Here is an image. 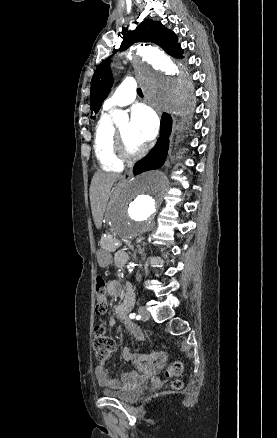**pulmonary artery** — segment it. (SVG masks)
<instances>
[{
    "instance_id": "obj_1",
    "label": "pulmonary artery",
    "mask_w": 277,
    "mask_h": 438,
    "mask_svg": "<svg viewBox=\"0 0 277 438\" xmlns=\"http://www.w3.org/2000/svg\"><path fill=\"white\" fill-rule=\"evenodd\" d=\"M137 83L133 76H126L124 81L120 83V89L118 95H110L108 101L104 104V110L110 114L113 111L131 104L134 100V96L137 93Z\"/></svg>"
}]
</instances>
